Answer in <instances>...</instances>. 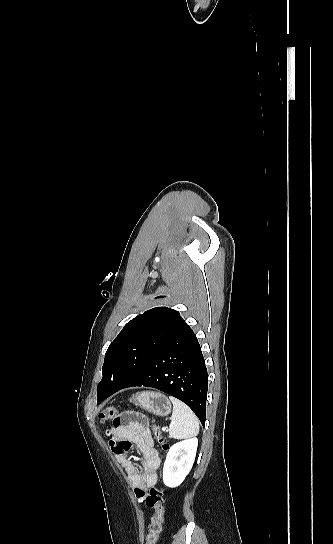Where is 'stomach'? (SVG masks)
Instances as JSON below:
<instances>
[{
	"label": "stomach",
	"instance_id": "stomach-1",
	"mask_svg": "<svg viewBox=\"0 0 333 544\" xmlns=\"http://www.w3.org/2000/svg\"><path fill=\"white\" fill-rule=\"evenodd\" d=\"M133 402L135 405L158 416H167L172 409L170 400L159 392H139L133 396Z\"/></svg>",
	"mask_w": 333,
	"mask_h": 544
}]
</instances>
